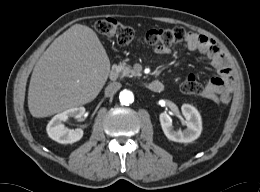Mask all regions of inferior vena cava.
I'll return each instance as SVG.
<instances>
[{"label":"inferior vena cava","mask_w":260,"mask_h":192,"mask_svg":"<svg viewBox=\"0 0 260 192\" xmlns=\"http://www.w3.org/2000/svg\"><path fill=\"white\" fill-rule=\"evenodd\" d=\"M121 86L122 85L119 82L110 83L105 89L106 96H113L121 88Z\"/></svg>","instance_id":"1"}]
</instances>
